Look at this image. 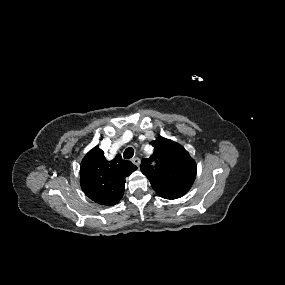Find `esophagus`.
<instances>
[{
    "label": "esophagus",
    "mask_w": 285,
    "mask_h": 285,
    "mask_svg": "<svg viewBox=\"0 0 285 285\" xmlns=\"http://www.w3.org/2000/svg\"><path fill=\"white\" fill-rule=\"evenodd\" d=\"M132 162H133L137 167H139L141 161H140L139 158L135 157V158L132 159Z\"/></svg>",
    "instance_id": "1"
}]
</instances>
